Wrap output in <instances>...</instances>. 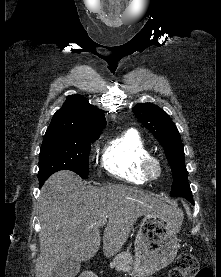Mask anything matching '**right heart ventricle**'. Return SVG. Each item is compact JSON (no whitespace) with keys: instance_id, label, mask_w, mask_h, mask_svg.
Listing matches in <instances>:
<instances>
[{"instance_id":"e07e8e85","label":"right heart ventricle","mask_w":221,"mask_h":277,"mask_svg":"<svg viewBox=\"0 0 221 277\" xmlns=\"http://www.w3.org/2000/svg\"><path fill=\"white\" fill-rule=\"evenodd\" d=\"M150 154L142 136L128 130L110 141L105 147L102 164L114 177L134 184L148 179L141 170V162Z\"/></svg>"}]
</instances>
